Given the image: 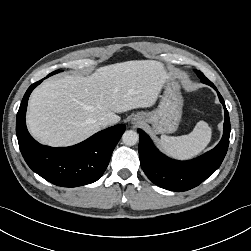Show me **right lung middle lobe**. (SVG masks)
<instances>
[{
  "mask_svg": "<svg viewBox=\"0 0 251 251\" xmlns=\"http://www.w3.org/2000/svg\"><path fill=\"white\" fill-rule=\"evenodd\" d=\"M58 72H60V71H59V70L54 71V72L50 73L48 76H51V75L56 74V73H58ZM48 76H47V77H48Z\"/></svg>",
  "mask_w": 251,
  "mask_h": 251,
  "instance_id": "right-lung-middle-lobe-1",
  "label": "right lung middle lobe"
}]
</instances>
